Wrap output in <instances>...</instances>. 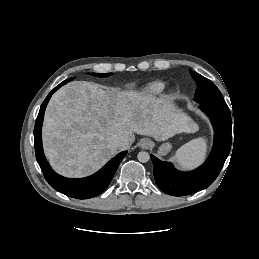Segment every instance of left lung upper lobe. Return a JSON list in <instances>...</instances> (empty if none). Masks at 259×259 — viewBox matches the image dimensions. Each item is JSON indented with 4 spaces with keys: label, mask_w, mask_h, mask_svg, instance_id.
Segmentation results:
<instances>
[{
    "label": "left lung upper lobe",
    "mask_w": 259,
    "mask_h": 259,
    "mask_svg": "<svg viewBox=\"0 0 259 259\" xmlns=\"http://www.w3.org/2000/svg\"><path fill=\"white\" fill-rule=\"evenodd\" d=\"M191 76L196 82L197 89L195 92V101L200 102H211V103H223L225 102L221 92L215 86V84L209 79L202 75L190 71Z\"/></svg>",
    "instance_id": "5c2ea615"
}]
</instances>
